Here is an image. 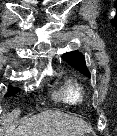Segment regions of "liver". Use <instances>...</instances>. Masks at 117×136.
I'll list each match as a JSON object with an SVG mask.
<instances>
[{
    "mask_svg": "<svg viewBox=\"0 0 117 136\" xmlns=\"http://www.w3.org/2000/svg\"><path fill=\"white\" fill-rule=\"evenodd\" d=\"M20 111L3 115L1 122L6 136H82L89 126L82 119L60 111L48 110L24 119L15 128Z\"/></svg>",
    "mask_w": 117,
    "mask_h": 136,
    "instance_id": "obj_1",
    "label": "liver"
}]
</instances>
